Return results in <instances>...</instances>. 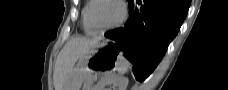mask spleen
<instances>
[{
	"instance_id": "spleen-1",
	"label": "spleen",
	"mask_w": 228,
	"mask_h": 90,
	"mask_svg": "<svg viewBox=\"0 0 228 90\" xmlns=\"http://www.w3.org/2000/svg\"><path fill=\"white\" fill-rule=\"evenodd\" d=\"M130 68L129 62L123 57L120 56L117 62L116 70L119 74H125Z\"/></svg>"
}]
</instances>
